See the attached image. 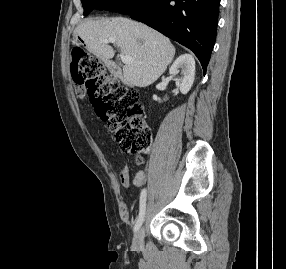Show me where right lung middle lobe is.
<instances>
[{
    "label": "right lung middle lobe",
    "mask_w": 286,
    "mask_h": 269,
    "mask_svg": "<svg viewBox=\"0 0 286 269\" xmlns=\"http://www.w3.org/2000/svg\"><path fill=\"white\" fill-rule=\"evenodd\" d=\"M156 0H81L84 13L88 15L94 8L131 15L150 7Z\"/></svg>",
    "instance_id": "right-lung-middle-lobe-1"
}]
</instances>
